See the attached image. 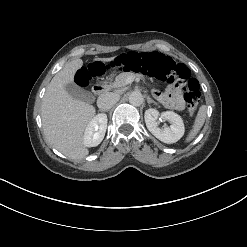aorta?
I'll return each instance as SVG.
<instances>
[{
	"mask_svg": "<svg viewBox=\"0 0 247 247\" xmlns=\"http://www.w3.org/2000/svg\"><path fill=\"white\" fill-rule=\"evenodd\" d=\"M143 101H144V98L140 92L134 91V92L130 93L129 102L133 106H140V105H142Z\"/></svg>",
	"mask_w": 247,
	"mask_h": 247,
	"instance_id": "aorta-1",
	"label": "aorta"
}]
</instances>
